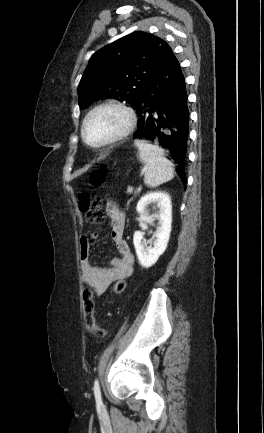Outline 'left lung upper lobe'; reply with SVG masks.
Returning <instances> with one entry per match:
<instances>
[{"label":"left lung upper lobe","instance_id":"obj_1","mask_svg":"<svg viewBox=\"0 0 264 433\" xmlns=\"http://www.w3.org/2000/svg\"><path fill=\"white\" fill-rule=\"evenodd\" d=\"M161 38L142 31L133 32L97 51L81 78L80 108L102 98L125 101L135 107L171 55Z\"/></svg>","mask_w":264,"mask_h":433}]
</instances>
